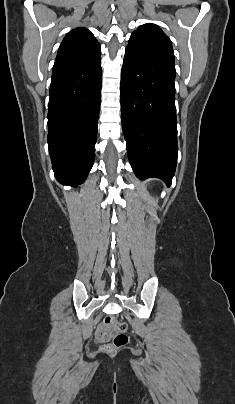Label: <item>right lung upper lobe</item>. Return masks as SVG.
<instances>
[{
  "instance_id": "obj_1",
  "label": "right lung upper lobe",
  "mask_w": 235,
  "mask_h": 404,
  "mask_svg": "<svg viewBox=\"0 0 235 404\" xmlns=\"http://www.w3.org/2000/svg\"><path fill=\"white\" fill-rule=\"evenodd\" d=\"M100 57V45L93 34L86 28H76L63 39L54 67L90 62Z\"/></svg>"
}]
</instances>
